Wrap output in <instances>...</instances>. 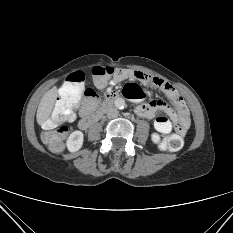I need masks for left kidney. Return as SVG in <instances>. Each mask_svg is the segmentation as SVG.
<instances>
[{
  "instance_id": "obj_1",
  "label": "left kidney",
  "mask_w": 233,
  "mask_h": 233,
  "mask_svg": "<svg viewBox=\"0 0 233 233\" xmlns=\"http://www.w3.org/2000/svg\"><path fill=\"white\" fill-rule=\"evenodd\" d=\"M151 139H152L153 143H155V144H158L160 142V136L157 133H153L151 135Z\"/></svg>"
}]
</instances>
